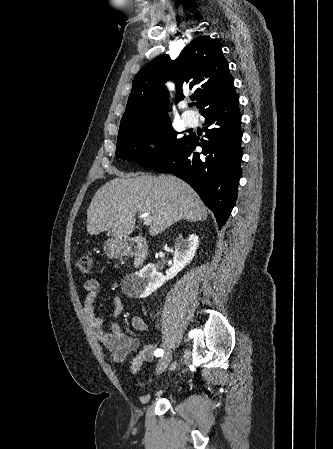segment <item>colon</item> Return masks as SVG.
Segmentation results:
<instances>
[{"mask_svg": "<svg viewBox=\"0 0 333 449\" xmlns=\"http://www.w3.org/2000/svg\"><path fill=\"white\" fill-rule=\"evenodd\" d=\"M92 264L93 259L92 256L89 254L82 255L75 261L76 269L83 274H87L90 272Z\"/></svg>", "mask_w": 333, "mask_h": 449, "instance_id": "colon-1", "label": "colon"}]
</instances>
